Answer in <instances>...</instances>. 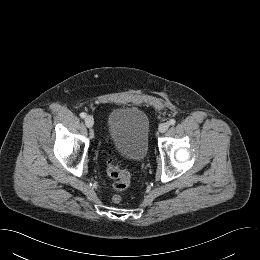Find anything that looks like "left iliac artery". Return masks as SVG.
<instances>
[{
    "label": "left iliac artery",
    "instance_id": "1",
    "mask_svg": "<svg viewBox=\"0 0 260 260\" xmlns=\"http://www.w3.org/2000/svg\"><path fill=\"white\" fill-rule=\"evenodd\" d=\"M176 123V120L175 119H171L170 121H169V124L170 125H174Z\"/></svg>",
    "mask_w": 260,
    "mask_h": 260
}]
</instances>
